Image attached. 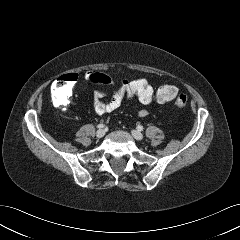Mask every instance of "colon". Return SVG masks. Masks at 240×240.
I'll list each match as a JSON object with an SVG mask.
<instances>
[{
	"label": "colon",
	"mask_w": 240,
	"mask_h": 240,
	"mask_svg": "<svg viewBox=\"0 0 240 240\" xmlns=\"http://www.w3.org/2000/svg\"><path fill=\"white\" fill-rule=\"evenodd\" d=\"M89 79L98 84L112 83V79L103 73H94ZM75 80V75L69 74L59 77L53 82L51 93L55 105L64 107L68 104ZM125 85L132 98L142 104L173 102L177 108H184L188 104V97L179 92L174 85L165 84L156 87L144 77L125 80Z\"/></svg>",
	"instance_id": "colon-1"
}]
</instances>
